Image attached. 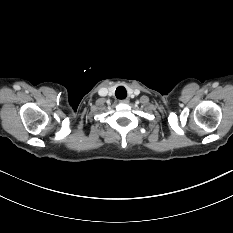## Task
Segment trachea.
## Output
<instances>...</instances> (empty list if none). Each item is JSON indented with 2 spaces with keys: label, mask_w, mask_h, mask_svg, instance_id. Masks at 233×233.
Returning a JSON list of instances; mask_svg holds the SVG:
<instances>
[{
  "label": "trachea",
  "mask_w": 233,
  "mask_h": 233,
  "mask_svg": "<svg viewBox=\"0 0 233 233\" xmlns=\"http://www.w3.org/2000/svg\"><path fill=\"white\" fill-rule=\"evenodd\" d=\"M115 95L118 99H125L127 96V91L123 86L116 89Z\"/></svg>",
  "instance_id": "3493384b"
}]
</instances>
